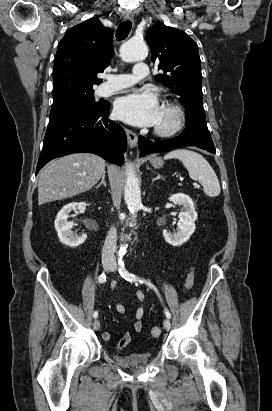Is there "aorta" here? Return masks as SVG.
Segmentation results:
<instances>
[{
	"instance_id": "762f6f07",
	"label": "aorta",
	"mask_w": 272,
	"mask_h": 411,
	"mask_svg": "<svg viewBox=\"0 0 272 411\" xmlns=\"http://www.w3.org/2000/svg\"><path fill=\"white\" fill-rule=\"evenodd\" d=\"M147 52V46L144 41L130 39L121 47L120 56L125 62H133L143 59ZM125 174L124 199L130 213L135 216L142 205L139 179L130 163L126 164ZM123 251L124 249L120 250V258L123 256Z\"/></svg>"
}]
</instances>
